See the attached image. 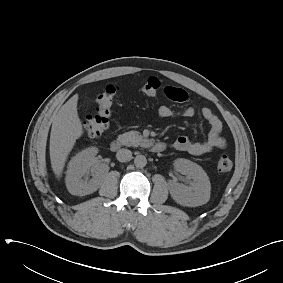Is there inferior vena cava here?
Here are the masks:
<instances>
[{
  "label": "inferior vena cava",
  "instance_id": "obj_1",
  "mask_svg": "<svg viewBox=\"0 0 283 283\" xmlns=\"http://www.w3.org/2000/svg\"><path fill=\"white\" fill-rule=\"evenodd\" d=\"M116 158L120 162L130 161L132 159V152L128 149H120L116 153Z\"/></svg>",
  "mask_w": 283,
  "mask_h": 283
}]
</instances>
